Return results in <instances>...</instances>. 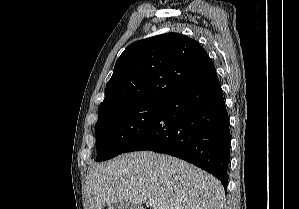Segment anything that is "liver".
Wrapping results in <instances>:
<instances>
[{"label":"liver","instance_id":"1","mask_svg":"<svg viewBox=\"0 0 299 209\" xmlns=\"http://www.w3.org/2000/svg\"><path fill=\"white\" fill-rule=\"evenodd\" d=\"M89 209L121 201H156L153 209H223V186L211 174L178 158L151 151L93 164L87 173Z\"/></svg>","mask_w":299,"mask_h":209}]
</instances>
